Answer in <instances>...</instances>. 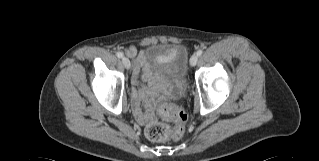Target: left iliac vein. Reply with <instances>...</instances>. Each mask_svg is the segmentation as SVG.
<instances>
[{
    "label": "left iliac vein",
    "mask_w": 319,
    "mask_h": 161,
    "mask_svg": "<svg viewBox=\"0 0 319 161\" xmlns=\"http://www.w3.org/2000/svg\"><path fill=\"white\" fill-rule=\"evenodd\" d=\"M197 61H198V56H197L196 54H194V55L191 57V59H190V64H191V66H195L196 63H197Z\"/></svg>",
    "instance_id": "4c4485c4"
}]
</instances>
